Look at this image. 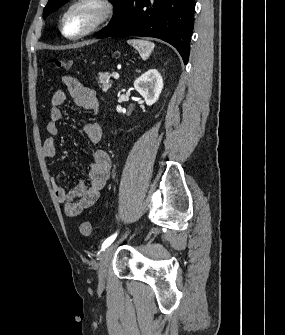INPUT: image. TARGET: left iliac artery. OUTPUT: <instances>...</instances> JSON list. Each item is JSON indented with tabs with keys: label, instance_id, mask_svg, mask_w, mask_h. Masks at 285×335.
<instances>
[{
	"label": "left iliac artery",
	"instance_id": "1",
	"mask_svg": "<svg viewBox=\"0 0 285 335\" xmlns=\"http://www.w3.org/2000/svg\"><path fill=\"white\" fill-rule=\"evenodd\" d=\"M116 236H117V233L114 234V235H112V236H110L109 238H107V239L103 242V244H102V250H104L105 248H107L108 246H110L111 243L115 240Z\"/></svg>",
	"mask_w": 285,
	"mask_h": 335
}]
</instances>
